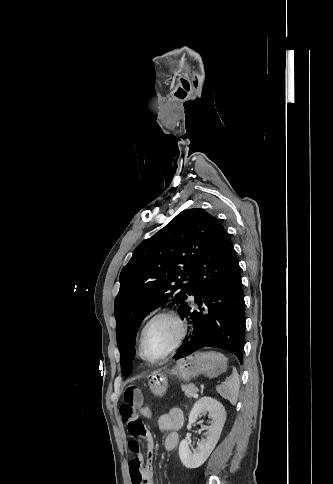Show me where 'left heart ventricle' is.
<instances>
[{
    "label": "left heart ventricle",
    "mask_w": 333,
    "mask_h": 484,
    "mask_svg": "<svg viewBox=\"0 0 333 484\" xmlns=\"http://www.w3.org/2000/svg\"><path fill=\"white\" fill-rule=\"evenodd\" d=\"M178 334L177 326L169 319H159L147 329L143 350L146 356L157 358L173 343Z\"/></svg>",
    "instance_id": "obj_1"
}]
</instances>
